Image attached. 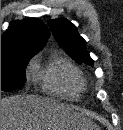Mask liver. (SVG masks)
<instances>
[{
  "label": "liver",
  "instance_id": "liver-1",
  "mask_svg": "<svg viewBox=\"0 0 123 130\" xmlns=\"http://www.w3.org/2000/svg\"><path fill=\"white\" fill-rule=\"evenodd\" d=\"M96 125L52 98L16 95L1 99V130H93Z\"/></svg>",
  "mask_w": 123,
  "mask_h": 130
}]
</instances>
